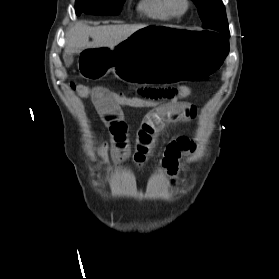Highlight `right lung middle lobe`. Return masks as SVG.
<instances>
[{"label": "right lung middle lobe", "mask_w": 279, "mask_h": 279, "mask_svg": "<svg viewBox=\"0 0 279 279\" xmlns=\"http://www.w3.org/2000/svg\"><path fill=\"white\" fill-rule=\"evenodd\" d=\"M125 0H76V14L117 15Z\"/></svg>", "instance_id": "1"}]
</instances>
